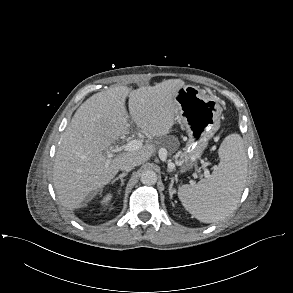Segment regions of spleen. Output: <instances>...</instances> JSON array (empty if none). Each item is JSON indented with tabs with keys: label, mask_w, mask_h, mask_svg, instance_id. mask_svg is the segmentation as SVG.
Masks as SVG:
<instances>
[{
	"label": "spleen",
	"mask_w": 293,
	"mask_h": 293,
	"mask_svg": "<svg viewBox=\"0 0 293 293\" xmlns=\"http://www.w3.org/2000/svg\"><path fill=\"white\" fill-rule=\"evenodd\" d=\"M220 163L208 179L183 185L178 196L185 209L203 223H216L237 207L247 176V158L240 135L230 134L221 143Z\"/></svg>",
	"instance_id": "obj_1"
}]
</instances>
